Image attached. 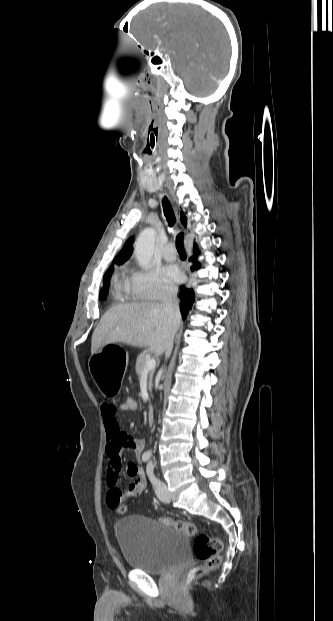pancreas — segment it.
Masks as SVG:
<instances>
[{
	"label": "pancreas",
	"mask_w": 333,
	"mask_h": 621,
	"mask_svg": "<svg viewBox=\"0 0 333 621\" xmlns=\"http://www.w3.org/2000/svg\"><path fill=\"white\" fill-rule=\"evenodd\" d=\"M148 360L147 353H141L136 360V373L140 376L143 373V370L146 365V361ZM154 369L148 371V388L149 391H152V381H153Z\"/></svg>",
	"instance_id": "obj_1"
}]
</instances>
